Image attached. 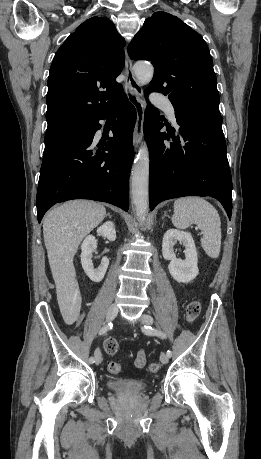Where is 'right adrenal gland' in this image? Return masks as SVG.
Wrapping results in <instances>:
<instances>
[{"mask_svg":"<svg viewBox=\"0 0 261 459\" xmlns=\"http://www.w3.org/2000/svg\"><path fill=\"white\" fill-rule=\"evenodd\" d=\"M107 216H108L109 218H112V216L110 215V213H108Z\"/></svg>","mask_w":261,"mask_h":459,"instance_id":"2a0ac1e0","label":"right adrenal gland"}]
</instances>
